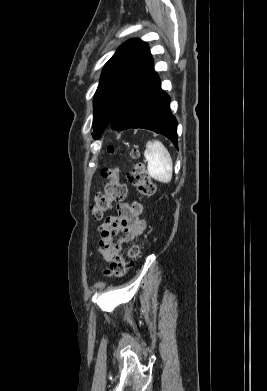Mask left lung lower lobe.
<instances>
[{
  "mask_svg": "<svg viewBox=\"0 0 267 391\" xmlns=\"http://www.w3.org/2000/svg\"><path fill=\"white\" fill-rule=\"evenodd\" d=\"M170 97L161 89L152 69L123 99L109 125L113 129L144 128L177 145V121L169 108Z\"/></svg>",
  "mask_w": 267,
  "mask_h": 391,
  "instance_id": "1",
  "label": "left lung lower lobe"
}]
</instances>
